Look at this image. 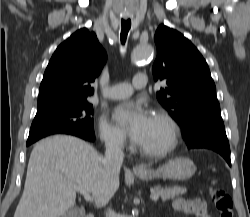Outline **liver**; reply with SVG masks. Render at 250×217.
I'll list each match as a JSON object with an SVG mask.
<instances>
[{"label": "liver", "mask_w": 250, "mask_h": 217, "mask_svg": "<svg viewBox=\"0 0 250 217\" xmlns=\"http://www.w3.org/2000/svg\"><path fill=\"white\" fill-rule=\"evenodd\" d=\"M92 194L103 206L119 187L104 158L82 139L56 135L38 142L27 168L22 197L14 217H61L76 204L74 187Z\"/></svg>", "instance_id": "liver-1"}]
</instances>
